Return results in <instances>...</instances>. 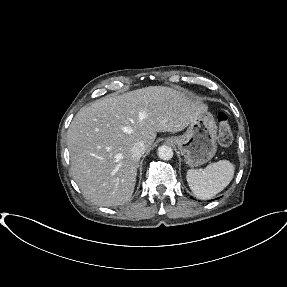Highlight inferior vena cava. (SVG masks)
I'll return each instance as SVG.
<instances>
[{"label":"inferior vena cava","instance_id":"1","mask_svg":"<svg viewBox=\"0 0 287 287\" xmlns=\"http://www.w3.org/2000/svg\"><path fill=\"white\" fill-rule=\"evenodd\" d=\"M145 144L144 142H138L136 143L132 149H131V155L134 157V158H137L139 159L144 153H145Z\"/></svg>","mask_w":287,"mask_h":287}]
</instances>
